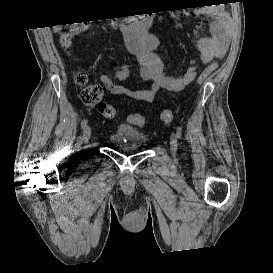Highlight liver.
I'll return each instance as SVG.
<instances>
[{
	"label": "liver",
	"instance_id": "obj_1",
	"mask_svg": "<svg viewBox=\"0 0 273 273\" xmlns=\"http://www.w3.org/2000/svg\"><path fill=\"white\" fill-rule=\"evenodd\" d=\"M60 27H61L60 25L55 26V27H54V31H59V30H61V28H60Z\"/></svg>",
	"mask_w": 273,
	"mask_h": 273
}]
</instances>
